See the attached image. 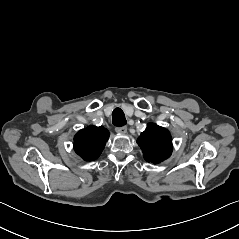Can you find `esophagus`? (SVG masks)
<instances>
[{
	"mask_svg": "<svg viewBox=\"0 0 239 239\" xmlns=\"http://www.w3.org/2000/svg\"><path fill=\"white\" fill-rule=\"evenodd\" d=\"M115 131L119 134H125L127 132V127L126 126L116 127Z\"/></svg>",
	"mask_w": 239,
	"mask_h": 239,
	"instance_id": "34e87169",
	"label": "esophagus"
}]
</instances>
